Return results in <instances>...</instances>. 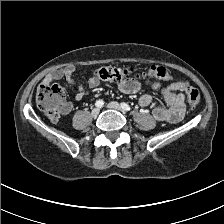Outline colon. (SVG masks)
Here are the masks:
<instances>
[{"instance_id":"1","label":"colon","mask_w":224,"mask_h":224,"mask_svg":"<svg viewBox=\"0 0 224 224\" xmlns=\"http://www.w3.org/2000/svg\"><path fill=\"white\" fill-rule=\"evenodd\" d=\"M136 68L107 66L96 71L99 79L109 82H118L123 77L135 73ZM149 74L160 79L168 80L172 78L168 68L159 65H153L149 68ZM187 101L193 108L200 104L199 91L194 87H188L186 90ZM36 101L39 108L52 120H57L60 114L68 109L66 93L63 87L57 84H40L37 88Z\"/></svg>"}]
</instances>
